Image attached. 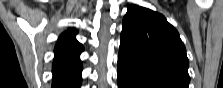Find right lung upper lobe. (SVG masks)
<instances>
[{"label":"right lung upper lobe","instance_id":"cb5924a9","mask_svg":"<svg viewBox=\"0 0 223 88\" xmlns=\"http://www.w3.org/2000/svg\"><path fill=\"white\" fill-rule=\"evenodd\" d=\"M75 29L64 32L57 41L52 72L54 80L77 82L81 80V62L79 54L83 51L82 45L75 39Z\"/></svg>","mask_w":223,"mask_h":88}]
</instances>
